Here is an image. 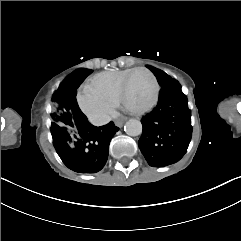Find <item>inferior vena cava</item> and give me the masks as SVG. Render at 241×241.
Returning a JSON list of instances; mask_svg holds the SVG:
<instances>
[{
  "instance_id": "602c4592",
  "label": "inferior vena cava",
  "mask_w": 241,
  "mask_h": 241,
  "mask_svg": "<svg viewBox=\"0 0 241 241\" xmlns=\"http://www.w3.org/2000/svg\"><path fill=\"white\" fill-rule=\"evenodd\" d=\"M111 121V117L109 115H104L100 118H96L92 121V124L95 126H102Z\"/></svg>"
}]
</instances>
